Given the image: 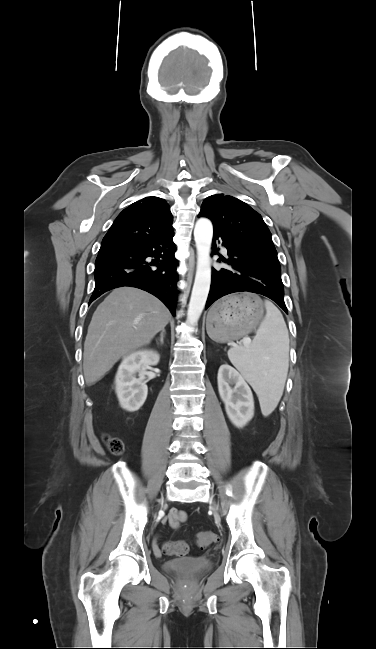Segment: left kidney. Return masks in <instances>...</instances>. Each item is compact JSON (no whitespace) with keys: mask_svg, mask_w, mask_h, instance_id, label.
I'll return each mask as SVG.
<instances>
[{"mask_svg":"<svg viewBox=\"0 0 376 649\" xmlns=\"http://www.w3.org/2000/svg\"><path fill=\"white\" fill-rule=\"evenodd\" d=\"M218 391L225 404L226 413L238 428L245 426L254 416L253 394L243 376L228 364L218 371Z\"/></svg>","mask_w":376,"mask_h":649,"instance_id":"obj_1","label":"left kidney"}]
</instances>
